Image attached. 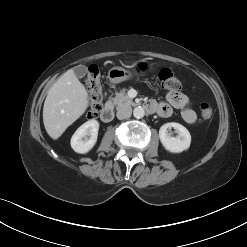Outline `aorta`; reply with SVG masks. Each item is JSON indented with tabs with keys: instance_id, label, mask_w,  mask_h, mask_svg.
Instances as JSON below:
<instances>
[{
	"instance_id": "762f6f07",
	"label": "aorta",
	"mask_w": 247,
	"mask_h": 247,
	"mask_svg": "<svg viewBox=\"0 0 247 247\" xmlns=\"http://www.w3.org/2000/svg\"><path fill=\"white\" fill-rule=\"evenodd\" d=\"M133 115H134L135 118L140 119V118L144 117L145 111H144V109L142 107L139 106V107L134 108Z\"/></svg>"
}]
</instances>
